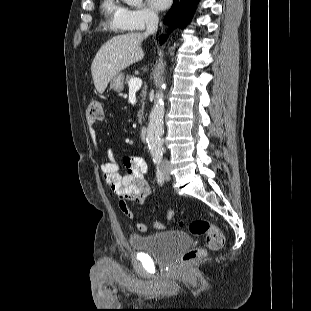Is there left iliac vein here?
Returning <instances> with one entry per match:
<instances>
[{"label": "left iliac vein", "mask_w": 311, "mask_h": 311, "mask_svg": "<svg viewBox=\"0 0 311 311\" xmlns=\"http://www.w3.org/2000/svg\"><path fill=\"white\" fill-rule=\"evenodd\" d=\"M164 173H165V179L169 180L170 174H169V168L167 166L164 167Z\"/></svg>", "instance_id": "left-iliac-vein-1"}]
</instances>
